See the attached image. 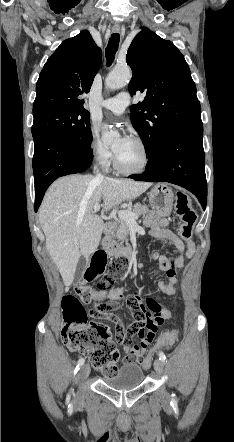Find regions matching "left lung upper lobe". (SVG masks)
Returning <instances> with one entry per match:
<instances>
[{
	"label": "left lung upper lobe",
	"instance_id": "5c2ea615",
	"mask_svg": "<svg viewBox=\"0 0 234 442\" xmlns=\"http://www.w3.org/2000/svg\"><path fill=\"white\" fill-rule=\"evenodd\" d=\"M126 60L133 72L130 94H146L131 106L130 116L151 164L172 130L201 120L196 86L178 48L147 28L133 39Z\"/></svg>",
	"mask_w": 234,
	"mask_h": 442
}]
</instances>
